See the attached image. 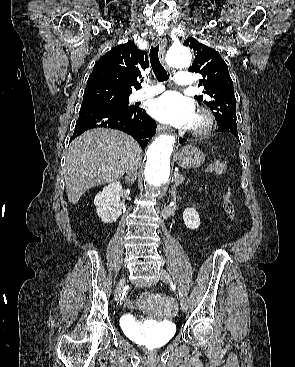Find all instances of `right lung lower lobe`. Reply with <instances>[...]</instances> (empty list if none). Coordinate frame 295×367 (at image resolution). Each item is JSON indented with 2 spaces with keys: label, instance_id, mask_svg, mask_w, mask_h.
<instances>
[{
  "label": "right lung lower lobe",
  "instance_id": "1",
  "mask_svg": "<svg viewBox=\"0 0 295 367\" xmlns=\"http://www.w3.org/2000/svg\"><path fill=\"white\" fill-rule=\"evenodd\" d=\"M104 127L121 130L135 138L142 148L147 138L155 134L156 123L139 106L120 108L113 106H85L80 108L79 118L70 141L92 128Z\"/></svg>",
  "mask_w": 295,
  "mask_h": 367
}]
</instances>
